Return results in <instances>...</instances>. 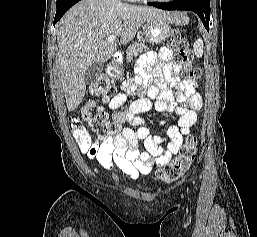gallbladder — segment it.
<instances>
[{
    "label": "gallbladder",
    "mask_w": 257,
    "mask_h": 237,
    "mask_svg": "<svg viewBox=\"0 0 257 237\" xmlns=\"http://www.w3.org/2000/svg\"><path fill=\"white\" fill-rule=\"evenodd\" d=\"M103 66L99 62H94L85 72L84 80L87 85L94 83L102 73Z\"/></svg>",
    "instance_id": "1"
}]
</instances>
